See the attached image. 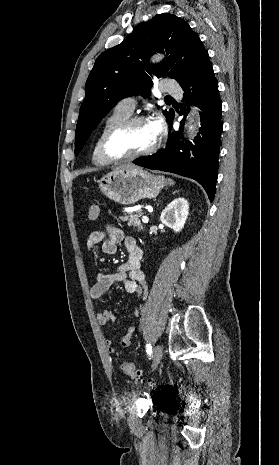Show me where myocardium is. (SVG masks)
Here are the masks:
<instances>
[{
	"instance_id": "obj_1",
	"label": "myocardium",
	"mask_w": 279,
	"mask_h": 465,
	"mask_svg": "<svg viewBox=\"0 0 279 465\" xmlns=\"http://www.w3.org/2000/svg\"><path fill=\"white\" fill-rule=\"evenodd\" d=\"M139 123H150V121L148 118L144 116H131L113 125L105 132L100 142V153L107 162L118 163V162L131 161V160L149 156L156 151L159 145V138L157 135L152 145L143 151L132 153V154L121 155V156H115L109 152V143L114 135Z\"/></svg>"
}]
</instances>
